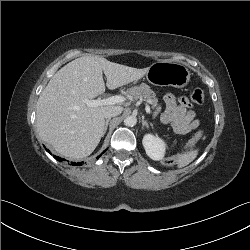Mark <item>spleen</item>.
Instances as JSON below:
<instances>
[{"mask_svg": "<svg viewBox=\"0 0 250 250\" xmlns=\"http://www.w3.org/2000/svg\"><path fill=\"white\" fill-rule=\"evenodd\" d=\"M198 149L190 150L176 155V164L178 168H182L190 164L198 155Z\"/></svg>", "mask_w": 250, "mask_h": 250, "instance_id": "obj_1", "label": "spleen"}]
</instances>
